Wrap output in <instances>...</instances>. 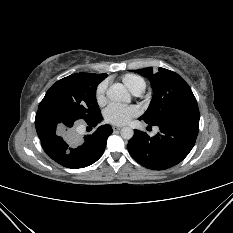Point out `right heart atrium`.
Masks as SVG:
<instances>
[{"label": "right heart atrium", "mask_w": 233, "mask_h": 233, "mask_svg": "<svg viewBox=\"0 0 233 233\" xmlns=\"http://www.w3.org/2000/svg\"><path fill=\"white\" fill-rule=\"evenodd\" d=\"M105 91H106V86L104 83H101L97 86L96 91H95V100L97 104L103 105L105 103Z\"/></svg>", "instance_id": "1"}]
</instances>
